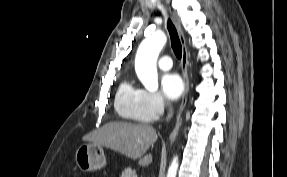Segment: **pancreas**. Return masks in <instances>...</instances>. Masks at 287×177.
Masks as SVG:
<instances>
[{"label": "pancreas", "instance_id": "pancreas-1", "mask_svg": "<svg viewBox=\"0 0 287 177\" xmlns=\"http://www.w3.org/2000/svg\"><path fill=\"white\" fill-rule=\"evenodd\" d=\"M120 177H137L135 170H132L131 168H127L124 171H122Z\"/></svg>", "mask_w": 287, "mask_h": 177}]
</instances>
